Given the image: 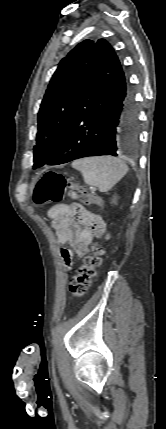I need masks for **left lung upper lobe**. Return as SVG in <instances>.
<instances>
[{
    "mask_svg": "<svg viewBox=\"0 0 166 429\" xmlns=\"http://www.w3.org/2000/svg\"><path fill=\"white\" fill-rule=\"evenodd\" d=\"M96 42L85 40L63 58L53 74L38 113L33 168L43 166L57 147L89 77Z\"/></svg>",
    "mask_w": 166,
    "mask_h": 429,
    "instance_id": "1",
    "label": "left lung upper lobe"
}]
</instances>
